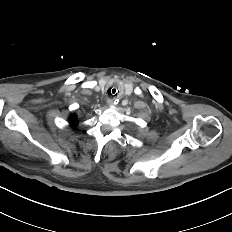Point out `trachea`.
<instances>
[{
    "label": "trachea",
    "mask_w": 232,
    "mask_h": 232,
    "mask_svg": "<svg viewBox=\"0 0 232 232\" xmlns=\"http://www.w3.org/2000/svg\"><path fill=\"white\" fill-rule=\"evenodd\" d=\"M108 96L111 97V98H114L118 95L119 93V89L115 86L111 87L108 89Z\"/></svg>",
    "instance_id": "obj_1"
}]
</instances>
